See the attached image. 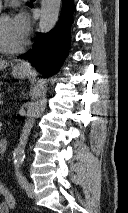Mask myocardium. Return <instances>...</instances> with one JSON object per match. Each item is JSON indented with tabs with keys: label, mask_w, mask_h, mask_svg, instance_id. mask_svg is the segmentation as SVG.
<instances>
[{
	"label": "myocardium",
	"mask_w": 128,
	"mask_h": 213,
	"mask_svg": "<svg viewBox=\"0 0 128 213\" xmlns=\"http://www.w3.org/2000/svg\"><path fill=\"white\" fill-rule=\"evenodd\" d=\"M9 17L8 15L6 14H3V15H0V21L4 18H7ZM24 49V45H20L19 47H16V48H11V47H8L2 40V37L0 35V52L1 53H5V54H15V53H19L21 52L22 50Z\"/></svg>",
	"instance_id": "myocardium-1"
}]
</instances>
